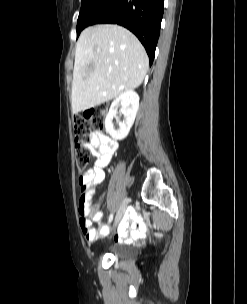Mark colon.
Masks as SVG:
<instances>
[{
  "label": "colon",
  "instance_id": "5ec220e1",
  "mask_svg": "<svg viewBox=\"0 0 247 304\" xmlns=\"http://www.w3.org/2000/svg\"><path fill=\"white\" fill-rule=\"evenodd\" d=\"M107 114L106 104L97 105L78 114L73 119L75 133V163L79 171H83L89 163L90 150L86 145L91 129H102ZM81 213L84 218L95 212L86 201V189L80 188Z\"/></svg>",
  "mask_w": 247,
  "mask_h": 304
}]
</instances>
